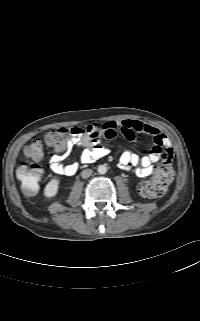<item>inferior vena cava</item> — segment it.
Segmentation results:
<instances>
[{
	"mask_svg": "<svg viewBox=\"0 0 200 321\" xmlns=\"http://www.w3.org/2000/svg\"><path fill=\"white\" fill-rule=\"evenodd\" d=\"M92 175V170L91 169H85L81 172L82 178L86 179Z\"/></svg>",
	"mask_w": 200,
	"mask_h": 321,
	"instance_id": "obj_1",
	"label": "inferior vena cava"
}]
</instances>
